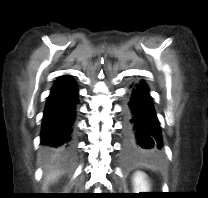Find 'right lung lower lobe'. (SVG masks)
Returning <instances> with one entry per match:
<instances>
[{"label": "right lung lower lobe", "mask_w": 208, "mask_h": 198, "mask_svg": "<svg viewBox=\"0 0 208 198\" xmlns=\"http://www.w3.org/2000/svg\"><path fill=\"white\" fill-rule=\"evenodd\" d=\"M77 103L75 81L68 75L61 76L48 97L41 132V144L53 158L67 159L71 156Z\"/></svg>", "instance_id": "98d812e1"}]
</instances>
